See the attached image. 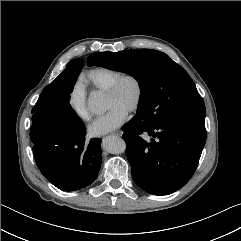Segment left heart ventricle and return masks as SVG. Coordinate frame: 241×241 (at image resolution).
Here are the masks:
<instances>
[{
	"label": "left heart ventricle",
	"mask_w": 241,
	"mask_h": 241,
	"mask_svg": "<svg viewBox=\"0 0 241 241\" xmlns=\"http://www.w3.org/2000/svg\"><path fill=\"white\" fill-rule=\"evenodd\" d=\"M136 92V85L132 80L124 81L115 95L105 96L106 109L117 106L128 112L135 101Z\"/></svg>",
	"instance_id": "obj_1"
}]
</instances>
